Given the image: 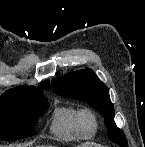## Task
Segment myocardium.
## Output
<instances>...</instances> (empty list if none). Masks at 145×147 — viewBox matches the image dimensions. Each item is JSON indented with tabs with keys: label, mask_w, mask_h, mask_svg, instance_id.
Masks as SVG:
<instances>
[{
	"label": "myocardium",
	"mask_w": 145,
	"mask_h": 147,
	"mask_svg": "<svg viewBox=\"0 0 145 147\" xmlns=\"http://www.w3.org/2000/svg\"><path fill=\"white\" fill-rule=\"evenodd\" d=\"M82 119L87 126L96 130L98 119L96 114L90 109H84L82 112Z\"/></svg>",
	"instance_id": "f54148a6"
}]
</instances>
